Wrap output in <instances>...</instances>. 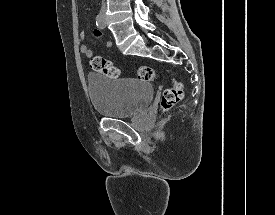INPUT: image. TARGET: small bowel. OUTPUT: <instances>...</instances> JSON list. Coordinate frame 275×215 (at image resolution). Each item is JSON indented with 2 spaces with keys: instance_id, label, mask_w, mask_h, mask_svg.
Segmentation results:
<instances>
[{
  "instance_id": "c3829d8e",
  "label": "small bowel",
  "mask_w": 275,
  "mask_h": 215,
  "mask_svg": "<svg viewBox=\"0 0 275 215\" xmlns=\"http://www.w3.org/2000/svg\"><path fill=\"white\" fill-rule=\"evenodd\" d=\"M99 28V27H98ZM94 35L96 38L101 37V32L99 29H96L94 31ZM86 37V32L85 31H81L79 33V39L83 40ZM105 47L106 48H110L112 47V42L111 41H106L105 42ZM79 51L81 54H83L85 57H87L88 59L93 58V53L91 51V49L87 46V45H81L79 48Z\"/></svg>"
}]
</instances>
